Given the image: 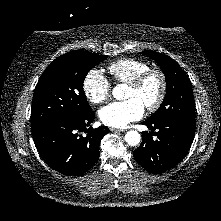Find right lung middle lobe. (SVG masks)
<instances>
[{
	"label": "right lung middle lobe",
	"instance_id": "1",
	"mask_svg": "<svg viewBox=\"0 0 221 221\" xmlns=\"http://www.w3.org/2000/svg\"><path fill=\"white\" fill-rule=\"evenodd\" d=\"M106 59L91 52L73 51L51 62L34 91L31 132L57 119L89 113L92 109L83 90L84 79L94 66Z\"/></svg>",
	"mask_w": 221,
	"mask_h": 221
}]
</instances>
